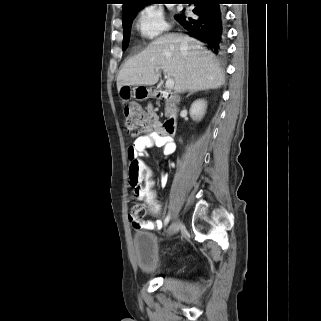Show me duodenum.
I'll use <instances>...</instances> for the list:
<instances>
[{"label": "duodenum", "mask_w": 321, "mask_h": 321, "mask_svg": "<svg viewBox=\"0 0 321 321\" xmlns=\"http://www.w3.org/2000/svg\"><path fill=\"white\" fill-rule=\"evenodd\" d=\"M157 97L160 99H166V100H170V101L176 100L172 94H170L166 91H159L157 93ZM175 129H176L175 118L168 119L164 124V132L167 135H173L175 133Z\"/></svg>", "instance_id": "410a0bca"}]
</instances>
